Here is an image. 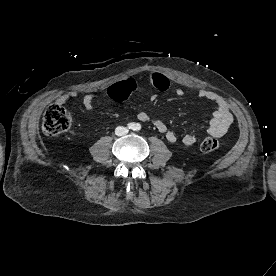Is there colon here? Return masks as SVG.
<instances>
[{"mask_svg":"<svg viewBox=\"0 0 276 276\" xmlns=\"http://www.w3.org/2000/svg\"><path fill=\"white\" fill-rule=\"evenodd\" d=\"M71 123L69 112L59 104H52L44 113L42 130L47 136H56L69 130ZM219 147V140L213 137L205 138L200 145L201 150L205 153L214 152Z\"/></svg>","mask_w":276,"mask_h":276,"instance_id":"1","label":"colon"}]
</instances>
